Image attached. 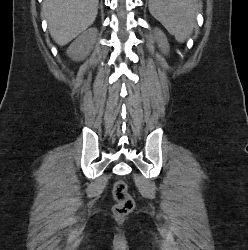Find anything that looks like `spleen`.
<instances>
[{
	"mask_svg": "<svg viewBox=\"0 0 248 250\" xmlns=\"http://www.w3.org/2000/svg\"><path fill=\"white\" fill-rule=\"evenodd\" d=\"M197 10V0H149L152 16L180 43L192 33Z\"/></svg>",
	"mask_w": 248,
	"mask_h": 250,
	"instance_id": "spleen-1",
	"label": "spleen"
}]
</instances>
